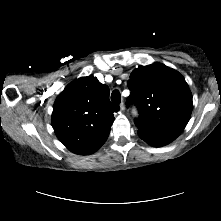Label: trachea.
I'll return each instance as SVG.
<instances>
[{
	"instance_id": "3493384b",
	"label": "trachea",
	"mask_w": 221,
	"mask_h": 221,
	"mask_svg": "<svg viewBox=\"0 0 221 221\" xmlns=\"http://www.w3.org/2000/svg\"><path fill=\"white\" fill-rule=\"evenodd\" d=\"M111 100L115 103H120L121 102V95L118 90H114L111 94Z\"/></svg>"
}]
</instances>
